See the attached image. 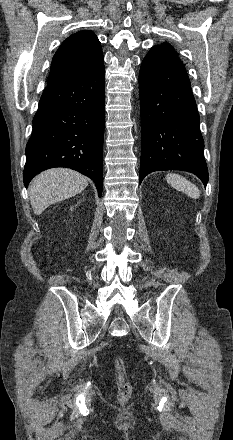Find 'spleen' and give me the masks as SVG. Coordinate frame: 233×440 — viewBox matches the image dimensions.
I'll return each instance as SVG.
<instances>
[{
  "label": "spleen",
  "mask_w": 233,
  "mask_h": 440,
  "mask_svg": "<svg viewBox=\"0 0 233 440\" xmlns=\"http://www.w3.org/2000/svg\"><path fill=\"white\" fill-rule=\"evenodd\" d=\"M167 182L175 189L184 192L192 199L200 197V190L196 185L185 179L183 176L175 173H169L166 176Z\"/></svg>",
  "instance_id": "1"
}]
</instances>
